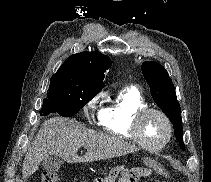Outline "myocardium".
Listing matches in <instances>:
<instances>
[{"label": "myocardium", "instance_id": "obj_1", "mask_svg": "<svg viewBox=\"0 0 211 182\" xmlns=\"http://www.w3.org/2000/svg\"><path fill=\"white\" fill-rule=\"evenodd\" d=\"M151 113L159 115L164 120V122L167 126V136L164 139V141H162V143H160L158 145L147 144L142 139L141 132H140V125H141L142 119L146 115L151 114ZM131 132H132L134 140L141 147L148 149V150L157 151V150H161L162 148H164L171 141L172 136H173V126H172V123H171L169 117L162 110H160L158 108L146 106V107H143V108L137 110L136 113L134 114L133 120H132Z\"/></svg>", "mask_w": 211, "mask_h": 182}]
</instances>
